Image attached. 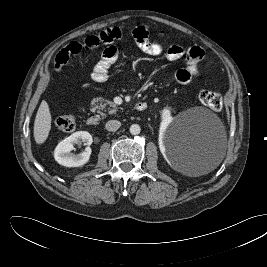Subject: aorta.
Segmentation results:
<instances>
[{
	"instance_id": "obj_1",
	"label": "aorta",
	"mask_w": 267,
	"mask_h": 267,
	"mask_svg": "<svg viewBox=\"0 0 267 267\" xmlns=\"http://www.w3.org/2000/svg\"><path fill=\"white\" fill-rule=\"evenodd\" d=\"M140 131H141V128L138 124H133L130 126V133L132 135H137L140 133Z\"/></svg>"
}]
</instances>
